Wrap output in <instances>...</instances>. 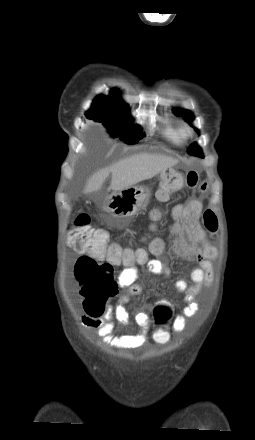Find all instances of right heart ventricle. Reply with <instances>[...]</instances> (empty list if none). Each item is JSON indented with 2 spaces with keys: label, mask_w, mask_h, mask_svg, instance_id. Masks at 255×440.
I'll return each instance as SVG.
<instances>
[{
  "label": "right heart ventricle",
  "mask_w": 255,
  "mask_h": 440,
  "mask_svg": "<svg viewBox=\"0 0 255 440\" xmlns=\"http://www.w3.org/2000/svg\"><path fill=\"white\" fill-rule=\"evenodd\" d=\"M165 137L174 144H180L185 138V129L181 124L167 122L163 128Z\"/></svg>",
  "instance_id": "e07e8e85"
}]
</instances>
